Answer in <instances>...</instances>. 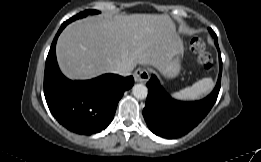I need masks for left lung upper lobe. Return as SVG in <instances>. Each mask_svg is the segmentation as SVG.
<instances>
[{"mask_svg": "<svg viewBox=\"0 0 261 162\" xmlns=\"http://www.w3.org/2000/svg\"><path fill=\"white\" fill-rule=\"evenodd\" d=\"M210 33L212 34V36L215 38V40H217L216 34L213 32L212 29H209Z\"/></svg>", "mask_w": 261, "mask_h": 162, "instance_id": "5c2ea615", "label": "left lung upper lobe"}]
</instances>
